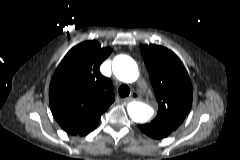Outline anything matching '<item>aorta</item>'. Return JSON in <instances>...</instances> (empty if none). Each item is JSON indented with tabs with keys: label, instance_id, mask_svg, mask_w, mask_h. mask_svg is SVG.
Returning a JSON list of instances; mask_svg holds the SVG:
<instances>
[{
	"label": "aorta",
	"instance_id": "aorta-1",
	"mask_svg": "<svg viewBox=\"0 0 240 160\" xmlns=\"http://www.w3.org/2000/svg\"><path fill=\"white\" fill-rule=\"evenodd\" d=\"M114 75L122 82L131 83L138 78L136 62L127 55H118L112 62ZM129 116L133 121L143 123L153 115V109L142 102H131L127 106Z\"/></svg>",
	"mask_w": 240,
	"mask_h": 160
}]
</instances>
